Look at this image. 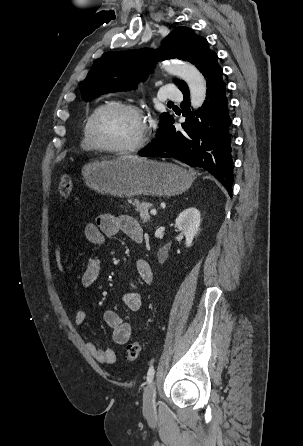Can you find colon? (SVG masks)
I'll list each match as a JSON object with an SVG mask.
<instances>
[{
	"instance_id": "colon-1",
	"label": "colon",
	"mask_w": 303,
	"mask_h": 446,
	"mask_svg": "<svg viewBox=\"0 0 303 446\" xmlns=\"http://www.w3.org/2000/svg\"><path fill=\"white\" fill-rule=\"evenodd\" d=\"M58 188L61 195L65 198L69 197L72 192V181L67 174H61L59 177ZM142 349L140 341L135 340L126 346L125 360L134 361L138 358Z\"/></svg>"
}]
</instances>
